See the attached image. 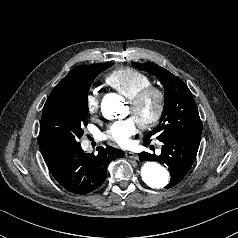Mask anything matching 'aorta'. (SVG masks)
<instances>
[{"instance_id":"aorta-1","label":"aorta","mask_w":238,"mask_h":238,"mask_svg":"<svg viewBox=\"0 0 238 238\" xmlns=\"http://www.w3.org/2000/svg\"><path fill=\"white\" fill-rule=\"evenodd\" d=\"M101 111L106 119L122 118L127 114V108L119 96H107L103 99ZM142 180L153 189H163L169 183V173L166 168L152 161H147L141 168Z\"/></svg>"}]
</instances>
